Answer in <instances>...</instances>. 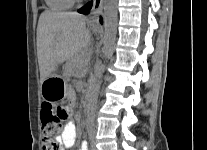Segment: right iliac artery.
<instances>
[{
    "label": "right iliac artery",
    "mask_w": 207,
    "mask_h": 150,
    "mask_svg": "<svg viewBox=\"0 0 207 150\" xmlns=\"http://www.w3.org/2000/svg\"><path fill=\"white\" fill-rule=\"evenodd\" d=\"M80 150H88L87 149V142H83Z\"/></svg>",
    "instance_id": "obj_1"
}]
</instances>
